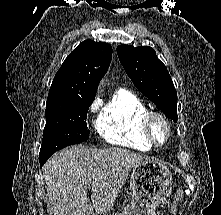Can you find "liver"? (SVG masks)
Masks as SVG:
<instances>
[{
    "label": "liver",
    "instance_id": "obj_1",
    "mask_svg": "<svg viewBox=\"0 0 221 215\" xmlns=\"http://www.w3.org/2000/svg\"><path fill=\"white\" fill-rule=\"evenodd\" d=\"M149 159L121 148H65L44 165L53 215L104 214L113 209L129 172ZM91 184V197L87 195Z\"/></svg>",
    "mask_w": 221,
    "mask_h": 215
}]
</instances>
